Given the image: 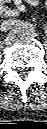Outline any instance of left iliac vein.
<instances>
[{
  "label": "left iliac vein",
  "instance_id": "obj_1",
  "mask_svg": "<svg viewBox=\"0 0 47 129\" xmlns=\"http://www.w3.org/2000/svg\"><path fill=\"white\" fill-rule=\"evenodd\" d=\"M36 36H37L36 33L28 32V31H22V34H21L20 38L23 39V40H29V39L34 38Z\"/></svg>",
  "mask_w": 47,
  "mask_h": 129
}]
</instances>
